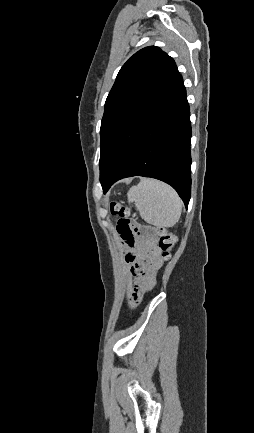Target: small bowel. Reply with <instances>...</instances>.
I'll use <instances>...</instances> for the list:
<instances>
[{"instance_id":"1","label":"small bowel","mask_w":254,"mask_h":433,"mask_svg":"<svg viewBox=\"0 0 254 433\" xmlns=\"http://www.w3.org/2000/svg\"><path fill=\"white\" fill-rule=\"evenodd\" d=\"M125 254V276L132 279L129 284L130 298L136 300L156 284V274L163 265L160 249L154 236H138Z\"/></svg>"}]
</instances>
